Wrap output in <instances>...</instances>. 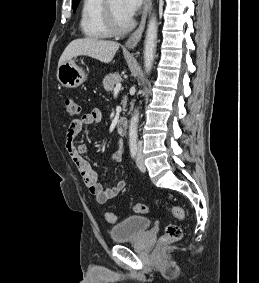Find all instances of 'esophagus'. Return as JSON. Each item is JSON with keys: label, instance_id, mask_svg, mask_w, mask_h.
<instances>
[{"label": "esophagus", "instance_id": "obj_1", "mask_svg": "<svg viewBox=\"0 0 259 283\" xmlns=\"http://www.w3.org/2000/svg\"><path fill=\"white\" fill-rule=\"evenodd\" d=\"M151 5H152V0H144L141 21L138 28L130 35V37L126 42V46L128 48L133 49L140 41L142 33L144 31L147 14L151 9Z\"/></svg>", "mask_w": 259, "mask_h": 283}]
</instances>
